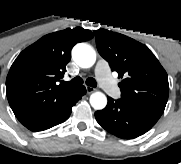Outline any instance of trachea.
Segmentation results:
<instances>
[{"label":"trachea","mask_w":181,"mask_h":164,"mask_svg":"<svg viewBox=\"0 0 181 164\" xmlns=\"http://www.w3.org/2000/svg\"><path fill=\"white\" fill-rule=\"evenodd\" d=\"M82 84H83V79L81 77H75L69 82H63V85L65 86H80ZM86 84L94 88L97 86V82L95 81L94 78L91 77L86 80Z\"/></svg>","instance_id":"trachea-1"}]
</instances>
